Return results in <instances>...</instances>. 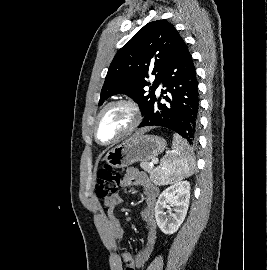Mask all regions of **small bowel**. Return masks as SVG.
Returning <instances> with one entry per match:
<instances>
[{"mask_svg":"<svg viewBox=\"0 0 267 270\" xmlns=\"http://www.w3.org/2000/svg\"><path fill=\"white\" fill-rule=\"evenodd\" d=\"M123 186H137L142 189L145 198V207L142 210V218L146 223V240L133 259L128 252L122 253L117 258V265H121L124 261L127 263L132 260L133 265L141 267L150 257L157 240L158 227L155 218V206L157 203L158 189L150 182L148 177L136 168H129L122 180ZM123 202L120 195L114 194L104 200V205L107 208V218L109 223V230L112 238L115 241H122L125 237V231L121 222L116 215V208Z\"/></svg>","mask_w":267,"mask_h":270,"instance_id":"c3829d8e","label":"small bowel"}]
</instances>
